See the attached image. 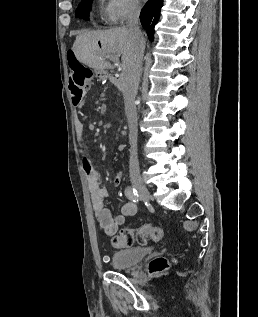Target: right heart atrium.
Instances as JSON below:
<instances>
[{"label": "right heart atrium", "instance_id": "1", "mask_svg": "<svg viewBox=\"0 0 258 317\" xmlns=\"http://www.w3.org/2000/svg\"><path fill=\"white\" fill-rule=\"evenodd\" d=\"M137 10L135 0H108L104 7V19L109 27L122 26Z\"/></svg>", "mask_w": 258, "mask_h": 317}]
</instances>
